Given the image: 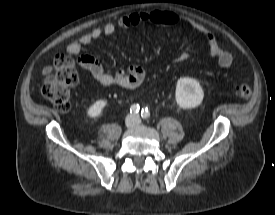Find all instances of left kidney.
<instances>
[{"mask_svg":"<svg viewBox=\"0 0 275 215\" xmlns=\"http://www.w3.org/2000/svg\"><path fill=\"white\" fill-rule=\"evenodd\" d=\"M175 96L177 104L188 109L202 103L204 92L196 79L183 77L177 81Z\"/></svg>","mask_w":275,"mask_h":215,"instance_id":"5707ae66","label":"left kidney"}]
</instances>
